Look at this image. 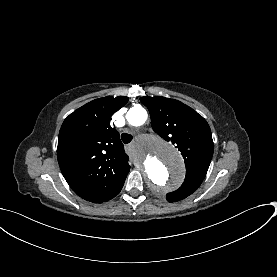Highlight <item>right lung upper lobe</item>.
Listing matches in <instances>:
<instances>
[{
  "instance_id": "cb5924a9",
  "label": "right lung upper lobe",
  "mask_w": 277,
  "mask_h": 277,
  "mask_svg": "<svg viewBox=\"0 0 277 277\" xmlns=\"http://www.w3.org/2000/svg\"><path fill=\"white\" fill-rule=\"evenodd\" d=\"M127 102L125 96L93 100L71 113L61 126L57 147L60 169L72 190L87 201H108L123 187L129 158L110 119ZM73 161L93 164L94 168L74 172ZM101 167H111L113 172L106 179L97 177Z\"/></svg>"
}]
</instances>
